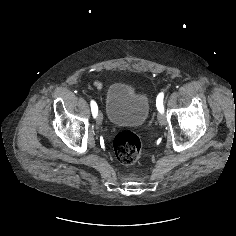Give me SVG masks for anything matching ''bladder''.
Here are the masks:
<instances>
[{
	"instance_id": "bladder-1",
	"label": "bladder",
	"mask_w": 236,
	"mask_h": 236,
	"mask_svg": "<svg viewBox=\"0 0 236 236\" xmlns=\"http://www.w3.org/2000/svg\"><path fill=\"white\" fill-rule=\"evenodd\" d=\"M150 111L147 96L136 92L129 84L116 82L109 86L105 96V113L116 126L138 127L145 123Z\"/></svg>"
}]
</instances>
